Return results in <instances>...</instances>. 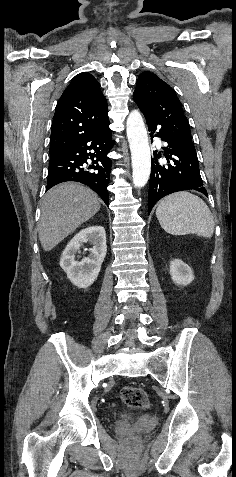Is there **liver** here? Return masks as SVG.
Here are the masks:
<instances>
[{
    "instance_id": "liver-1",
    "label": "liver",
    "mask_w": 236,
    "mask_h": 477,
    "mask_svg": "<svg viewBox=\"0 0 236 477\" xmlns=\"http://www.w3.org/2000/svg\"><path fill=\"white\" fill-rule=\"evenodd\" d=\"M101 200L91 189L74 182L51 188L42 200L39 240L45 251L52 250L77 227L93 217Z\"/></svg>"
}]
</instances>
